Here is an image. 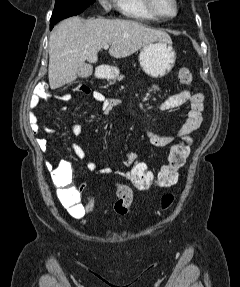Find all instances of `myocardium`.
<instances>
[{
	"instance_id": "1",
	"label": "myocardium",
	"mask_w": 240,
	"mask_h": 287,
	"mask_svg": "<svg viewBox=\"0 0 240 287\" xmlns=\"http://www.w3.org/2000/svg\"><path fill=\"white\" fill-rule=\"evenodd\" d=\"M172 1L175 7L174 13L172 15H165L158 10L156 6V0H144L146 8L149 11V13L153 15L154 17H156L157 19H161V20H169L177 16L179 12L178 1L177 0H172Z\"/></svg>"
}]
</instances>
